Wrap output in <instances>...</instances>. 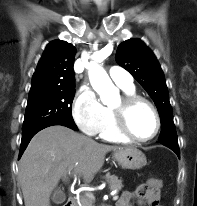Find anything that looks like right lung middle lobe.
I'll list each match as a JSON object with an SVG mask.
<instances>
[{
  "label": "right lung middle lobe",
  "instance_id": "right-lung-middle-lobe-1",
  "mask_svg": "<svg viewBox=\"0 0 197 206\" xmlns=\"http://www.w3.org/2000/svg\"><path fill=\"white\" fill-rule=\"evenodd\" d=\"M74 95V86L30 90L22 133L50 123L75 126L71 113Z\"/></svg>",
  "mask_w": 197,
  "mask_h": 206
}]
</instances>
